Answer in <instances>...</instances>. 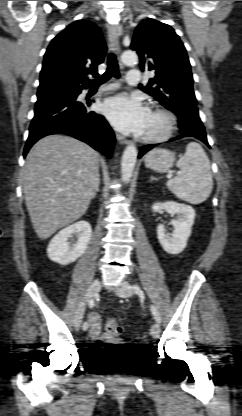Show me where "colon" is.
Here are the masks:
<instances>
[{
  "label": "colon",
  "mask_w": 242,
  "mask_h": 416,
  "mask_svg": "<svg viewBox=\"0 0 242 416\" xmlns=\"http://www.w3.org/2000/svg\"><path fill=\"white\" fill-rule=\"evenodd\" d=\"M105 329L112 336L120 335L124 330L123 322L118 318H110L106 321Z\"/></svg>",
  "instance_id": "colon-1"
}]
</instances>
